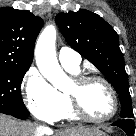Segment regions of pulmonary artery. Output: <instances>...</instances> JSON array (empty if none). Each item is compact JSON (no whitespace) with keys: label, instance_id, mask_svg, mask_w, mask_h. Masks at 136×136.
<instances>
[{"label":"pulmonary artery","instance_id":"1","mask_svg":"<svg viewBox=\"0 0 136 136\" xmlns=\"http://www.w3.org/2000/svg\"><path fill=\"white\" fill-rule=\"evenodd\" d=\"M58 59L64 68L79 70L81 57L75 50L62 47L58 52Z\"/></svg>","mask_w":136,"mask_h":136}]
</instances>
